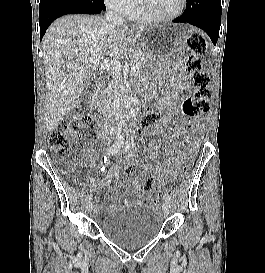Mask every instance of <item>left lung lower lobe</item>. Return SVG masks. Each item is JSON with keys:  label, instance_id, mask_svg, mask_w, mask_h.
I'll list each match as a JSON object with an SVG mask.
<instances>
[{"label": "left lung lower lobe", "instance_id": "1", "mask_svg": "<svg viewBox=\"0 0 265 273\" xmlns=\"http://www.w3.org/2000/svg\"><path fill=\"white\" fill-rule=\"evenodd\" d=\"M221 0H187L183 15L175 23H190L203 29L216 45L221 25Z\"/></svg>", "mask_w": 265, "mask_h": 273}]
</instances>
